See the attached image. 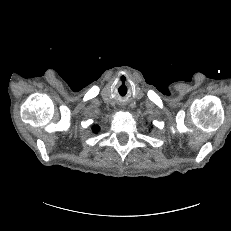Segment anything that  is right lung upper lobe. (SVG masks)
I'll return each instance as SVG.
<instances>
[{
	"label": "right lung upper lobe",
	"mask_w": 231,
	"mask_h": 231,
	"mask_svg": "<svg viewBox=\"0 0 231 231\" xmlns=\"http://www.w3.org/2000/svg\"><path fill=\"white\" fill-rule=\"evenodd\" d=\"M98 131H99V127L94 126V127H93V132H94V133H97Z\"/></svg>",
	"instance_id": "obj_1"
}]
</instances>
